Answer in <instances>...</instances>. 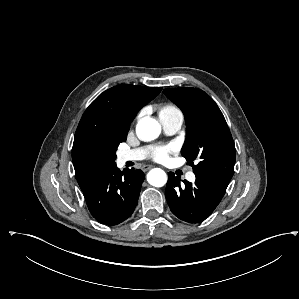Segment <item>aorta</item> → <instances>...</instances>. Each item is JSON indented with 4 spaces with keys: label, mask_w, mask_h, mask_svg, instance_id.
<instances>
[{
    "label": "aorta",
    "mask_w": 299,
    "mask_h": 299,
    "mask_svg": "<svg viewBox=\"0 0 299 299\" xmlns=\"http://www.w3.org/2000/svg\"><path fill=\"white\" fill-rule=\"evenodd\" d=\"M161 132V126L153 118H143L136 126V134L142 141H151L156 139ZM147 181L154 187H162L167 182L166 173L160 168L152 169L147 175Z\"/></svg>",
    "instance_id": "1"
}]
</instances>
